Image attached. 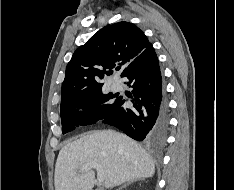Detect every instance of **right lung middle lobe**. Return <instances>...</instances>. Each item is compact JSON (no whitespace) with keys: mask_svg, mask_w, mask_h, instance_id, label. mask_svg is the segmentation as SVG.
Masks as SVG:
<instances>
[{"mask_svg":"<svg viewBox=\"0 0 234 190\" xmlns=\"http://www.w3.org/2000/svg\"><path fill=\"white\" fill-rule=\"evenodd\" d=\"M115 95H104L102 89L84 93L61 104V122L63 134L70 132L79 125L94 124L108 117L118 100Z\"/></svg>","mask_w":234,"mask_h":190,"instance_id":"1","label":"right lung middle lobe"}]
</instances>
